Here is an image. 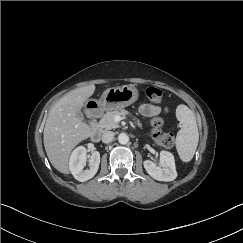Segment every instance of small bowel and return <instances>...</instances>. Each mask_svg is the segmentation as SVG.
I'll return each mask as SVG.
<instances>
[{
  "label": "small bowel",
  "mask_w": 243,
  "mask_h": 243,
  "mask_svg": "<svg viewBox=\"0 0 243 243\" xmlns=\"http://www.w3.org/2000/svg\"><path fill=\"white\" fill-rule=\"evenodd\" d=\"M140 112L142 113V115H144L145 117H152L155 116L161 112H168V108L166 107H161L159 105H154V104H143L140 107Z\"/></svg>",
  "instance_id": "small-bowel-1"
}]
</instances>
